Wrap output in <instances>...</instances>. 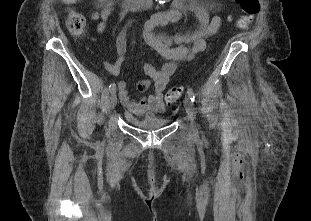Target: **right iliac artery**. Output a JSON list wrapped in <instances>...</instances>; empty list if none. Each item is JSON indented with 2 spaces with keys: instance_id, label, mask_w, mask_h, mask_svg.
Instances as JSON below:
<instances>
[{
  "instance_id": "1",
  "label": "right iliac artery",
  "mask_w": 311,
  "mask_h": 221,
  "mask_svg": "<svg viewBox=\"0 0 311 221\" xmlns=\"http://www.w3.org/2000/svg\"><path fill=\"white\" fill-rule=\"evenodd\" d=\"M115 88H116V84L115 83H111L110 86H109V91L113 92V91H115Z\"/></svg>"
}]
</instances>
